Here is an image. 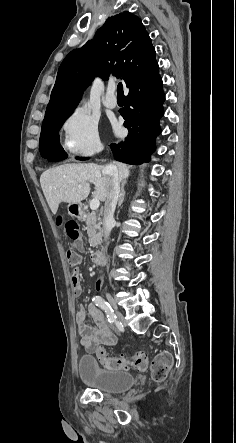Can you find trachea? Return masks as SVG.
Here are the masks:
<instances>
[{
	"instance_id": "3493384b",
	"label": "trachea",
	"mask_w": 236,
	"mask_h": 443,
	"mask_svg": "<svg viewBox=\"0 0 236 443\" xmlns=\"http://www.w3.org/2000/svg\"><path fill=\"white\" fill-rule=\"evenodd\" d=\"M117 96L123 97V85L119 83L117 86Z\"/></svg>"
}]
</instances>
